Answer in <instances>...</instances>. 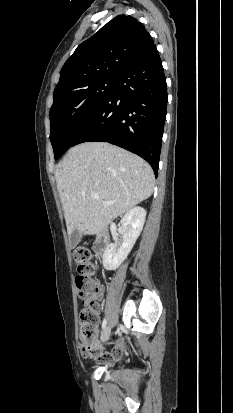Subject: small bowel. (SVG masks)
I'll list each match as a JSON object with an SVG mask.
<instances>
[{
    "mask_svg": "<svg viewBox=\"0 0 233 413\" xmlns=\"http://www.w3.org/2000/svg\"><path fill=\"white\" fill-rule=\"evenodd\" d=\"M102 295H103V289H102V287H99L98 290L95 291V292L90 296V298L93 299V300L98 301V300H100V299L102 298ZM86 302H87V300L85 299V304H86ZM119 352H120V350H119V348L117 347L113 352H111V353H105V354L102 356V359H104V358H109V359L111 360L112 358H115L116 356H118V355H119Z\"/></svg>",
    "mask_w": 233,
    "mask_h": 413,
    "instance_id": "small-bowel-1",
    "label": "small bowel"
}]
</instances>
